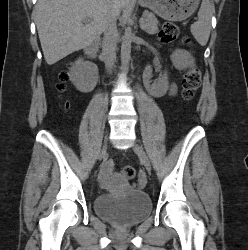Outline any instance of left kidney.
<instances>
[{"label": "left kidney", "instance_id": "obj_1", "mask_svg": "<svg viewBox=\"0 0 248 250\" xmlns=\"http://www.w3.org/2000/svg\"><path fill=\"white\" fill-rule=\"evenodd\" d=\"M158 86L160 87L161 91H166L168 88V78L167 76L163 77L160 81H158Z\"/></svg>", "mask_w": 248, "mask_h": 250}]
</instances>
